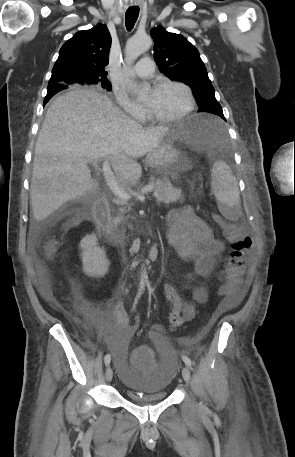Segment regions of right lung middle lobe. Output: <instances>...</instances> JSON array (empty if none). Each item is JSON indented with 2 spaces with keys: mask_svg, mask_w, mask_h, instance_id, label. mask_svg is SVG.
<instances>
[{
  "mask_svg": "<svg viewBox=\"0 0 295 457\" xmlns=\"http://www.w3.org/2000/svg\"><path fill=\"white\" fill-rule=\"evenodd\" d=\"M88 84H91V85L98 84L99 86H101L102 88H104L108 91H110L112 89L111 84L108 80H102V79L95 78V79H91Z\"/></svg>",
  "mask_w": 295,
  "mask_h": 457,
  "instance_id": "right-lung-middle-lobe-1",
  "label": "right lung middle lobe"
}]
</instances>
